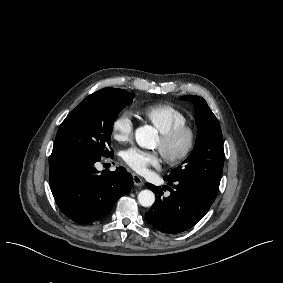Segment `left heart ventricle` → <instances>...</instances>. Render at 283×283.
<instances>
[{
    "instance_id": "b2bd125f",
    "label": "left heart ventricle",
    "mask_w": 283,
    "mask_h": 283,
    "mask_svg": "<svg viewBox=\"0 0 283 283\" xmlns=\"http://www.w3.org/2000/svg\"><path fill=\"white\" fill-rule=\"evenodd\" d=\"M186 141H187L186 137H181L174 146L165 147L162 145L161 140L159 139L157 147H159L160 151L163 153H167V152L177 153V152H180L184 148Z\"/></svg>"
}]
</instances>
